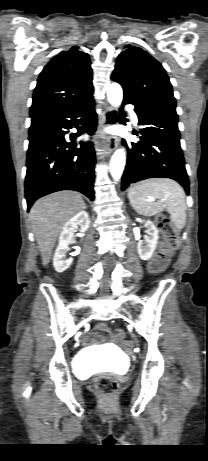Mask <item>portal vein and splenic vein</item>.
<instances>
[{
	"label": "portal vein and splenic vein",
	"instance_id": "1",
	"mask_svg": "<svg viewBox=\"0 0 208 461\" xmlns=\"http://www.w3.org/2000/svg\"><path fill=\"white\" fill-rule=\"evenodd\" d=\"M154 200H155L154 198H150V199H149V201H151V202L154 201Z\"/></svg>",
	"mask_w": 208,
	"mask_h": 461
}]
</instances>
